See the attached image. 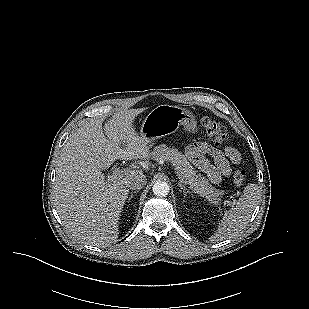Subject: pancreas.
<instances>
[{"instance_id":"1","label":"pancreas","mask_w":309,"mask_h":309,"mask_svg":"<svg viewBox=\"0 0 309 309\" xmlns=\"http://www.w3.org/2000/svg\"><path fill=\"white\" fill-rule=\"evenodd\" d=\"M152 157L156 160L169 161L177 171L182 175L183 179L190 185V188L200 196L207 199L210 203L218 205L221 196L224 194L222 190L214 189L208 180L197 174L194 168L187 161L186 157L175 148H169L164 144L154 147Z\"/></svg>"}]
</instances>
